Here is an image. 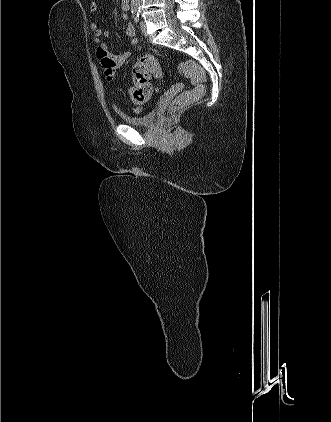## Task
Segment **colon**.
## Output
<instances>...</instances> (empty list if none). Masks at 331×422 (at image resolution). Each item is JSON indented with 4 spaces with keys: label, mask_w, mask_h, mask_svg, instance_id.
I'll return each mask as SVG.
<instances>
[{
    "label": "colon",
    "mask_w": 331,
    "mask_h": 422,
    "mask_svg": "<svg viewBox=\"0 0 331 422\" xmlns=\"http://www.w3.org/2000/svg\"><path fill=\"white\" fill-rule=\"evenodd\" d=\"M179 71L190 78L193 88L181 93L173 101L171 111L177 112L187 105L199 100L205 91V73L200 65L194 61H185L179 65ZM161 74V67L157 59L152 55L141 57L132 69L133 87L130 90V98L140 106L148 101L153 90V77ZM140 108L137 107L136 110Z\"/></svg>",
    "instance_id": "obj_1"
}]
</instances>
